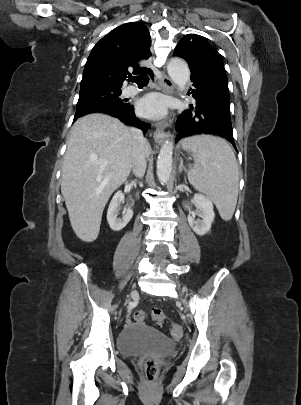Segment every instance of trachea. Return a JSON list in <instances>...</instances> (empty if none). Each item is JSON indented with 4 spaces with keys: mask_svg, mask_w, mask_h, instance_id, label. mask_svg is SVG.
Here are the masks:
<instances>
[{
    "mask_svg": "<svg viewBox=\"0 0 301 405\" xmlns=\"http://www.w3.org/2000/svg\"><path fill=\"white\" fill-rule=\"evenodd\" d=\"M129 81L135 82L138 86H145L149 82V78L147 75L142 74L136 77H130Z\"/></svg>",
    "mask_w": 301,
    "mask_h": 405,
    "instance_id": "obj_1",
    "label": "trachea"
}]
</instances>
